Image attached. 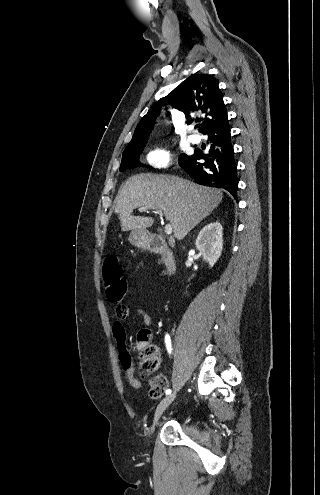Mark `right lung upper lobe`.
Returning <instances> with one entry per match:
<instances>
[{
	"label": "right lung upper lobe",
	"instance_id": "obj_1",
	"mask_svg": "<svg viewBox=\"0 0 320 495\" xmlns=\"http://www.w3.org/2000/svg\"><path fill=\"white\" fill-rule=\"evenodd\" d=\"M168 103L185 114L188 124L193 121L192 114H199L201 117L196 121L202 122L200 128L202 133L227 119L226 106L218 87V80L211 75L195 74L149 109L137 125L132 140L125 150L147 143L161 106Z\"/></svg>",
	"mask_w": 320,
	"mask_h": 495
}]
</instances>
